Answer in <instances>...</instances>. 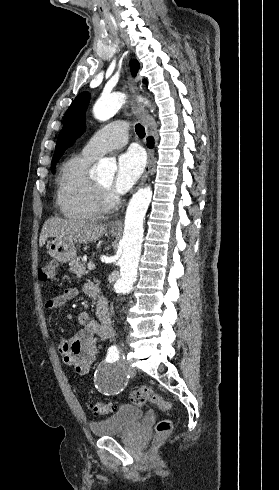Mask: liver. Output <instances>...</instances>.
Instances as JSON below:
<instances>
[{
	"mask_svg": "<svg viewBox=\"0 0 279 490\" xmlns=\"http://www.w3.org/2000/svg\"><path fill=\"white\" fill-rule=\"evenodd\" d=\"M107 230L106 224H88L84 220H63V218H49L43 224L39 238L42 248L48 238H55L59 242H96Z\"/></svg>",
	"mask_w": 279,
	"mask_h": 490,
	"instance_id": "6515ba94",
	"label": "liver"
}]
</instances>
